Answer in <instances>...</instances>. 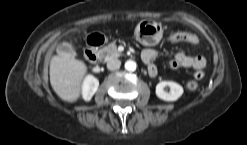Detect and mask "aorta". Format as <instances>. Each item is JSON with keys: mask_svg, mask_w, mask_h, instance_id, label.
Segmentation results:
<instances>
[{"mask_svg": "<svg viewBox=\"0 0 247 145\" xmlns=\"http://www.w3.org/2000/svg\"><path fill=\"white\" fill-rule=\"evenodd\" d=\"M137 65L136 62L132 61V60H128L125 62V69L127 71H134L136 69Z\"/></svg>", "mask_w": 247, "mask_h": 145, "instance_id": "1", "label": "aorta"}]
</instances>
